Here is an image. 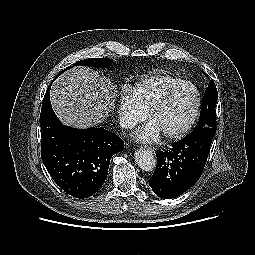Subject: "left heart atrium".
Masks as SVG:
<instances>
[{
    "label": "left heart atrium",
    "mask_w": 255,
    "mask_h": 255,
    "mask_svg": "<svg viewBox=\"0 0 255 255\" xmlns=\"http://www.w3.org/2000/svg\"><path fill=\"white\" fill-rule=\"evenodd\" d=\"M161 134L159 127L151 120L135 133L134 138L139 142H153L158 140Z\"/></svg>",
    "instance_id": "1"
}]
</instances>
